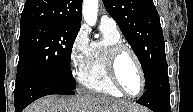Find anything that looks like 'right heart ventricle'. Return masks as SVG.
<instances>
[{
    "instance_id": "1",
    "label": "right heart ventricle",
    "mask_w": 193,
    "mask_h": 112,
    "mask_svg": "<svg viewBox=\"0 0 193 112\" xmlns=\"http://www.w3.org/2000/svg\"><path fill=\"white\" fill-rule=\"evenodd\" d=\"M102 39L93 41L88 50L85 63L79 72L78 79L86 89L113 97H123L111 83L106 70V55L109 47L122 43L119 31L101 27Z\"/></svg>"
}]
</instances>
